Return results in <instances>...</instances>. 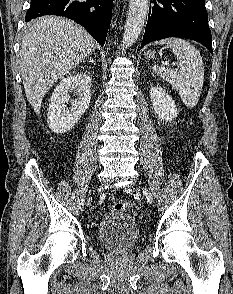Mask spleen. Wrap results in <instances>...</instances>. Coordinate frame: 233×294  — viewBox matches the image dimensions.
Masks as SVG:
<instances>
[{"mask_svg": "<svg viewBox=\"0 0 233 294\" xmlns=\"http://www.w3.org/2000/svg\"><path fill=\"white\" fill-rule=\"evenodd\" d=\"M167 45L177 57L179 71L154 65L152 70L172 85L188 108L197 105L204 82V65L199 50L180 38H166L152 45Z\"/></svg>", "mask_w": 233, "mask_h": 294, "instance_id": "1", "label": "spleen"}]
</instances>
